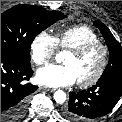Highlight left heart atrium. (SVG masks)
I'll use <instances>...</instances> for the list:
<instances>
[{
  "mask_svg": "<svg viewBox=\"0 0 122 122\" xmlns=\"http://www.w3.org/2000/svg\"><path fill=\"white\" fill-rule=\"evenodd\" d=\"M37 81L49 87H62L77 81L74 70L69 65L48 64L36 73Z\"/></svg>",
  "mask_w": 122,
  "mask_h": 122,
  "instance_id": "39dd6f15",
  "label": "left heart atrium"
}]
</instances>
